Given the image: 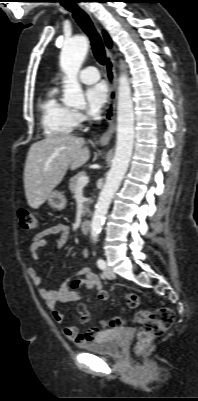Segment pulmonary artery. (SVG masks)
I'll return each instance as SVG.
<instances>
[{"label":"pulmonary artery","mask_w":198,"mask_h":401,"mask_svg":"<svg viewBox=\"0 0 198 401\" xmlns=\"http://www.w3.org/2000/svg\"><path fill=\"white\" fill-rule=\"evenodd\" d=\"M100 73L95 67H87L83 69L79 74V79L85 84H92L98 81Z\"/></svg>","instance_id":"e3ab8cb5"}]
</instances>
